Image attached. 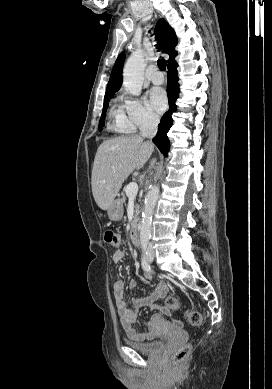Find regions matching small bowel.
<instances>
[{
	"instance_id": "obj_1",
	"label": "small bowel",
	"mask_w": 272,
	"mask_h": 389,
	"mask_svg": "<svg viewBox=\"0 0 272 389\" xmlns=\"http://www.w3.org/2000/svg\"><path fill=\"white\" fill-rule=\"evenodd\" d=\"M126 253L122 250H117L112 255V260L115 263H120L124 260ZM149 277V275H147ZM137 286L135 280L129 282V288L134 289ZM168 285L165 282H160L155 290L145 298H134L131 301V305L125 300V285L122 280H118L113 285L114 297L116 301L117 311L120 317L121 325L131 340L146 341L154 338L155 334L152 330L154 324L160 319L159 314H154L148 322L150 327L149 331H137L134 327L139 314V310L142 307H148L151 309L157 308L160 312L165 313V308L157 305V302L164 298L168 293Z\"/></svg>"
}]
</instances>
